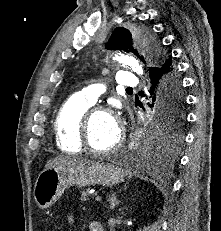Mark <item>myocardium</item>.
I'll use <instances>...</instances> for the list:
<instances>
[{
  "label": "myocardium",
  "instance_id": "f54148a6",
  "mask_svg": "<svg viewBox=\"0 0 221 231\" xmlns=\"http://www.w3.org/2000/svg\"><path fill=\"white\" fill-rule=\"evenodd\" d=\"M99 113L109 114L115 120H117L114 112L108 107H105V106L90 107L85 112V114L83 115L81 119L79 139H80V143L82 147L89 153L94 154V155H107V154L115 152L121 147V145L124 142L125 133H124L123 126L117 121L118 127H119V133H118V137L115 143L106 149H95L90 143V126H91V122L94 116Z\"/></svg>",
  "mask_w": 221,
  "mask_h": 231
}]
</instances>
